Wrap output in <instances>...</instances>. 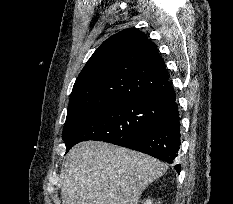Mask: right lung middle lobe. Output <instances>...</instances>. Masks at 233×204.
<instances>
[{"label":"right lung middle lobe","instance_id":"obj_1","mask_svg":"<svg viewBox=\"0 0 233 204\" xmlns=\"http://www.w3.org/2000/svg\"><path fill=\"white\" fill-rule=\"evenodd\" d=\"M152 97L116 101L90 111L63 129L66 152L86 140L114 143L122 137L142 133L160 122Z\"/></svg>","mask_w":233,"mask_h":204}]
</instances>
